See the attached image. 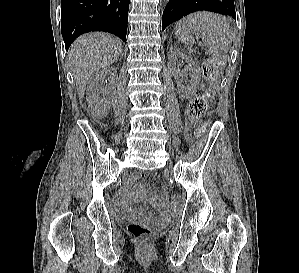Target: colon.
Wrapping results in <instances>:
<instances>
[{"label":"colon","mask_w":299,"mask_h":273,"mask_svg":"<svg viewBox=\"0 0 299 273\" xmlns=\"http://www.w3.org/2000/svg\"><path fill=\"white\" fill-rule=\"evenodd\" d=\"M219 63L214 59H209L204 62L202 67L203 77L209 86L206 87L199 95L195 96L187 105L186 115L188 119L194 125L195 135L201 137L206 134L208 129V124L201 121L204 116L209 102L213 97L214 84L218 78ZM181 196L179 194H174L171 197L172 211L175 213L181 206ZM128 232L131 237L137 241H147L150 240L155 232L152 227L133 222L128 225Z\"/></svg>","instance_id":"colon-1"}]
</instances>
